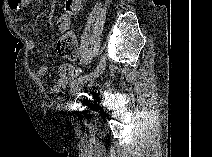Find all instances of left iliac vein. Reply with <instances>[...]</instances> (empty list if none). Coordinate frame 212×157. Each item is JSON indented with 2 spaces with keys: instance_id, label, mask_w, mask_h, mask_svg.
Wrapping results in <instances>:
<instances>
[{
  "instance_id": "4c4485c4",
  "label": "left iliac vein",
  "mask_w": 212,
  "mask_h": 157,
  "mask_svg": "<svg viewBox=\"0 0 212 157\" xmlns=\"http://www.w3.org/2000/svg\"><path fill=\"white\" fill-rule=\"evenodd\" d=\"M84 83H86V82H83V83H80V84H76L75 86H73V88L71 89L70 93L72 95H75L78 92H80L82 87H83V85H84Z\"/></svg>"
}]
</instances>
